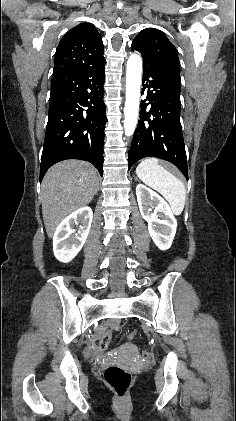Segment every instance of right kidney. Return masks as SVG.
I'll return each mask as SVG.
<instances>
[{"label": "right kidney", "mask_w": 236, "mask_h": 421, "mask_svg": "<svg viewBox=\"0 0 236 421\" xmlns=\"http://www.w3.org/2000/svg\"><path fill=\"white\" fill-rule=\"evenodd\" d=\"M92 219V208L81 206L60 223L53 237V251L58 261L69 263L78 255L89 235Z\"/></svg>", "instance_id": "1"}]
</instances>
